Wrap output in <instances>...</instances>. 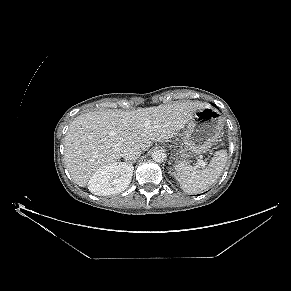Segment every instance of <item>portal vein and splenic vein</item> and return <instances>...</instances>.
<instances>
[{
	"label": "portal vein and splenic vein",
	"mask_w": 291,
	"mask_h": 291,
	"mask_svg": "<svg viewBox=\"0 0 291 291\" xmlns=\"http://www.w3.org/2000/svg\"><path fill=\"white\" fill-rule=\"evenodd\" d=\"M197 162H198V165L203 167V168L207 165V163L204 160H202L201 158H199L197 160Z\"/></svg>",
	"instance_id": "1"
}]
</instances>
